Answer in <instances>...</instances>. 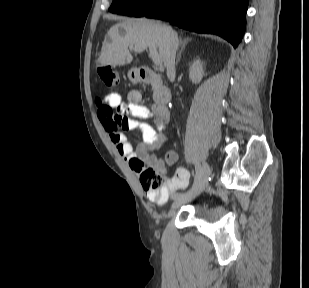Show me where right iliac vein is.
<instances>
[{"label": "right iliac vein", "mask_w": 309, "mask_h": 288, "mask_svg": "<svg viewBox=\"0 0 309 288\" xmlns=\"http://www.w3.org/2000/svg\"><path fill=\"white\" fill-rule=\"evenodd\" d=\"M209 173H210V167L206 162H204L200 168L199 184H197L194 190H189L186 193H182L178 199H173L174 203L172 207L176 208L183 202H186L188 199L199 195L206 186V181L209 176Z\"/></svg>", "instance_id": "obj_1"}]
</instances>
